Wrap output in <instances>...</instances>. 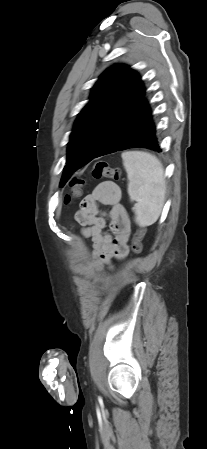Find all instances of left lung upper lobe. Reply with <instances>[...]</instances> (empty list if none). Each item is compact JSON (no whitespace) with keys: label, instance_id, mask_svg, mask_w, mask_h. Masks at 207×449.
Here are the masks:
<instances>
[{"label":"left lung upper lobe","instance_id":"left-lung-upper-lobe-1","mask_svg":"<svg viewBox=\"0 0 207 449\" xmlns=\"http://www.w3.org/2000/svg\"><path fill=\"white\" fill-rule=\"evenodd\" d=\"M144 95L140 77L125 65L112 66L100 76L75 122L60 187L73 172L94 159L108 134L144 100Z\"/></svg>","mask_w":207,"mask_h":449}]
</instances>
